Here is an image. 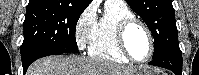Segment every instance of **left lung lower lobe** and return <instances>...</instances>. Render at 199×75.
Segmentation results:
<instances>
[{
	"label": "left lung lower lobe",
	"mask_w": 199,
	"mask_h": 75,
	"mask_svg": "<svg viewBox=\"0 0 199 75\" xmlns=\"http://www.w3.org/2000/svg\"><path fill=\"white\" fill-rule=\"evenodd\" d=\"M149 64L169 69L175 75H182V52L180 48H176L158 58L152 59Z\"/></svg>",
	"instance_id": "obj_1"
}]
</instances>
